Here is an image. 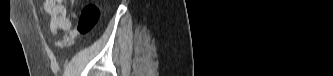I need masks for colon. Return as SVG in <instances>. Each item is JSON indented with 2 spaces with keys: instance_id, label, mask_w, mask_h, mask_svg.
I'll use <instances>...</instances> for the list:
<instances>
[{
  "instance_id": "5ec220e1",
  "label": "colon",
  "mask_w": 333,
  "mask_h": 76,
  "mask_svg": "<svg viewBox=\"0 0 333 76\" xmlns=\"http://www.w3.org/2000/svg\"><path fill=\"white\" fill-rule=\"evenodd\" d=\"M99 20V9L94 3L85 5L80 13L77 26L74 30L67 33L59 42L60 47L70 46L78 35L89 34Z\"/></svg>"
}]
</instances>
